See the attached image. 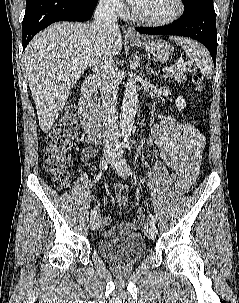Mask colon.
<instances>
[{"label":"colon","instance_id":"obj_1","mask_svg":"<svg viewBox=\"0 0 239 303\" xmlns=\"http://www.w3.org/2000/svg\"><path fill=\"white\" fill-rule=\"evenodd\" d=\"M202 81L201 74L193 76L197 90L201 89ZM77 124V108L70 105L56 122L47 139L44 169L52 176L53 185L58 190L67 188L70 182L69 171L73 163L70 152L74 148ZM127 202L128 199L125 196H120L117 200L119 208L125 207Z\"/></svg>","mask_w":239,"mask_h":303}]
</instances>
